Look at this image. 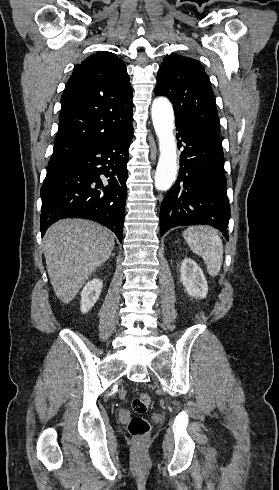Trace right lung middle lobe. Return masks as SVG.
Instances as JSON below:
<instances>
[{"label":"right lung middle lobe","mask_w":279,"mask_h":490,"mask_svg":"<svg viewBox=\"0 0 279 490\" xmlns=\"http://www.w3.org/2000/svg\"><path fill=\"white\" fill-rule=\"evenodd\" d=\"M55 168H56V166H55V165H53V164H49V165H48V167H47V172H50V171H52V170H53V169H55Z\"/></svg>","instance_id":"dd1d6c3e"}]
</instances>
